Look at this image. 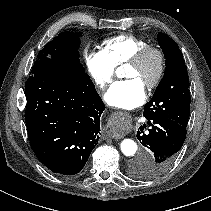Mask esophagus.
<instances>
[{
  "label": "esophagus",
  "instance_id": "obj_1",
  "mask_svg": "<svg viewBox=\"0 0 211 211\" xmlns=\"http://www.w3.org/2000/svg\"><path fill=\"white\" fill-rule=\"evenodd\" d=\"M117 115H123V113L122 112H117ZM115 139H119V138H121L122 136H113Z\"/></svg>",
  "mask_w": 211,
  "mask_h": 211
}]
</instances>
